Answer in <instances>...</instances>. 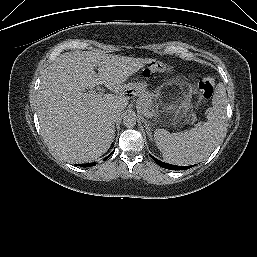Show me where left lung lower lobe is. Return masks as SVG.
Returning <instances> with one entry per match:
<instances>
[{
  "label": "left lung lower lobe",
  "mask_w": 257,
  "mask_h": 257,
  "mask_svg": "<svg viewBox=\"0 0 257 257\" xmlns=\"http://www.w3.org/2000/svg\"><path fill=\"white\" fill-rule=\"evenodd\" d=\"M150 156L159 166H161V167H163L165 169H170V170H186V169H189V168L194 166V165H191V166H177V165L167 164V163H164V162L154 158L152 155H150Z\"/></svg>",
  "instance_id": "left-lung-lower-lobe-1"
}]
</instances>
